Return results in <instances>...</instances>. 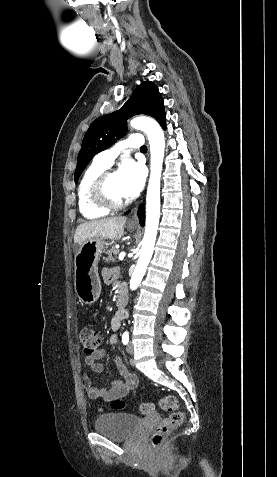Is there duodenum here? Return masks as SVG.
<instances>
[{
	"mask_svg": "<svg viewBox=\"0 0 277 477\" xmlns=\"http://www.w3.org/2000/svg\"><path fill=\"white\" fill-rule=\"evenodd\" d=\"M117 308L124 312L127 305V297L123 291H120L116 301Z\"/></svg>",
	"mask_w": 277,
	"mask_h": 477,
	"instance_id": "410a0bca",
	"label": "duodenum"
}]
</instances>
